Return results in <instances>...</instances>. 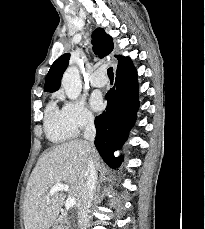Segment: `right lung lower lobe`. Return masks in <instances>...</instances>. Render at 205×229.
Returning <instances> with one entry per match:
<instances>
[{"label": "right lung lower lobe", "mask_w": 205, "mask_h": 229, "mask_svg": "<svg viewBox=\"0 0 205 229\" xmlns=\"http://www.w3.org/2000/svg\"><path fill=\"white\" fill-rule=\"evenodd\" d=\"M106 99V110L95 118V146L103 160L116 168L122 158H115L113 152L126 140L139 108L137 73L131 61L117 67L115 86L107 92Z\"/></svg>", "instance_id": "98d812e1"}]
</instances>
